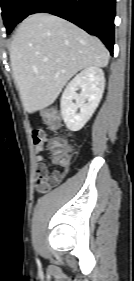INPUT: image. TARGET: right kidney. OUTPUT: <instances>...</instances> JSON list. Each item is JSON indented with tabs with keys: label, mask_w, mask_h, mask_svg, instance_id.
<instances>
[{
	"label": "right kidney",
	"mask_w": 134,
	"mask_h": 281,
	"mask_svg": "<svg viewBox=\"0 0 134 281\" xmlns=\"http://www.w3.org/2000/svg\"><path fill=\"white\" fill-rule=\"evenodd\" d=\"M104 86L102 69L93 66L85 68L68 83L60 106L62 118L69 130H80L91 118L102 98ZM78 89H81L80 94L76 92Z\"/></svg>",
	"instance_id": "obj_1"
}]
</instances>
